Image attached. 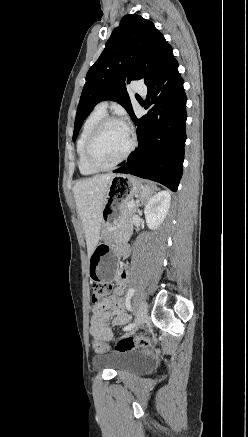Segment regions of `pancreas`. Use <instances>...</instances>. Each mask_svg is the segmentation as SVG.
<instances>
[{
  "instance_id": "pancreas-1",
  "label": "pancreas",
  "mask_w": 248,
  "mask_h": 437,
  "mask_svg": "<svg viewBox=\"0 0 248 437\" xmlns=\"http://www.w3.org/2000/svg\"><path fill=\"white\" fill-rule=\"evenodd\" d=\"M128 203H125L123 205L121 216H120V227L122 232H132L133 229V217L137 211V206L134 204V206L129 207Z\"/></svg>"
}]
</instances>
